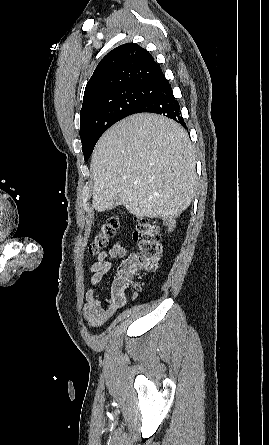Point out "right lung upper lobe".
<instances>
[{
	"instance_id": "right-lung-upper-lobe-1",
	"label": "right lung upper lobe",
	"mask_w": 269,
	"mask_h": 445,
	"mask_svg": "<svg viewBox=\"0 0 269 445\" xmlns=\"http://www.w3.org/2000/svg\"><path fill=\"white\" fill-rule=\"evenodd\" d=\"M164 74L151 54L136 43L110 51L97 65L84 92L83 105L111 91L128 86H156Z\"/></svg>"
}]
</instances>
